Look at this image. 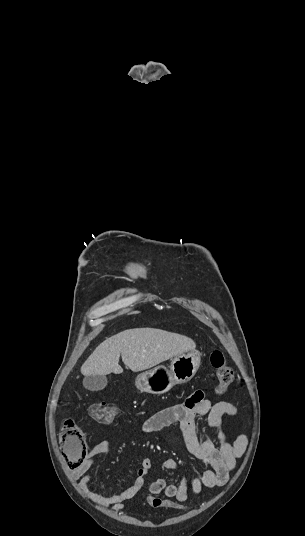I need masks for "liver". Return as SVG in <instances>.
<instances>
[{"label":"liver","instance_id":"liver-1","mask_svg":"<svg viewBox=\"0 0 305 536\" xmlns=\"http://www.w3.org/2000/svg\"><path fill=\"white\" fill-rule=\"evenodd\" d=\"M196 344L180 334L155 328H134L107 338L81 366L83 376L122 374L119 358L132 372L149 370L178 354L195 350Z\"/></svg>","mask_w":305,"mask_h":536}]
</instances>
